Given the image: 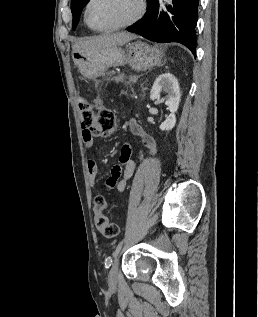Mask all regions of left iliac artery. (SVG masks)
I'll return each mask as SVG.
<instances>
[{
  "mask_svg": "<svg viewBox=\"0 0 258 317\" xmlns=\"http://www.w3.org/2000/svg\"><path fill=\"white\" fill-rule=\"evenodd\" d=\"M123 243H124V239H122V240L118 243L116 249H115L114 252H113V257H116V255L119 253V251H120V249H121Z\"/></svg>",
  "mask_w": 258,
  "mask_h": 317,
  "instance_id": "obj_1",
  "label": "left iliac artery"
}]
</instances>
